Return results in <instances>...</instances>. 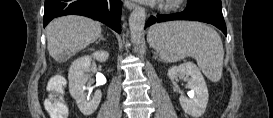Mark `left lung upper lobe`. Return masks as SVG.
I'll return each mask as SVG.
<instances>
[{"label":"left lung upper lobe","instance_id":"1","mask_svg":"<svg viewBox=\"0 0 273 118\" xmlns=\"http://www.w3.org/2000/svg\"><path fill=\"white\" fill-rule=\"evenodd\" d=\"M190 5L203 6L222 13L221 0H188Z\"/></svg>","mask_w":273,"mask_h":118}]
</instances>
